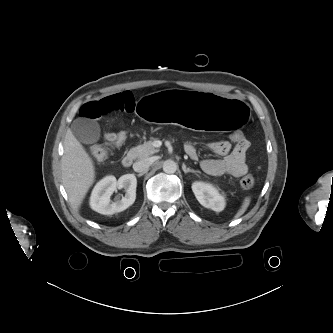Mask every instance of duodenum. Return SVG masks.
Segmentation results:
<instances>
[{
	"label": "duodenum",
	"instance_id": "1",
	"mask_svg": "<svg viewBox=\"0 0 333 333\" xmlns=\"http://www.w3.org/2000/svg\"><path fill=\"white\" fill-rule=\"evenodd\" d=\"M133 163V156L132 155H126L122 159V165L123 167L127 168L130 167Z\"/></svg>",
	"mask_w": 333,
	"mask_h": 333
}]
</instances>
